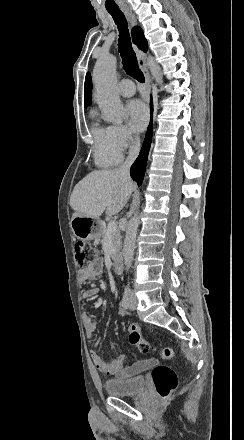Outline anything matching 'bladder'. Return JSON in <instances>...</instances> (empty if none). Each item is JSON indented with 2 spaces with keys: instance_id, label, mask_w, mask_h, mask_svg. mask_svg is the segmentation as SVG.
I'll list each match as a JSON object with an SVG mask.
<instances>
[{
  "instance_id": "1",
  "label": "bladder",
  "mask_w": 244,
  "mask_h": 440,
  "mask_svg": "<svg viewBox=\"0 0 244 440\" xmlns=\"http://www.w3.org/2000/svg\"><path fill=\"white\" fill-rule=\"evenodd\" d=\"M106 393L111 395H137L145 389L144 377H134L130 380H113L105 383Z\"/></svg>"
}]
</instances>
